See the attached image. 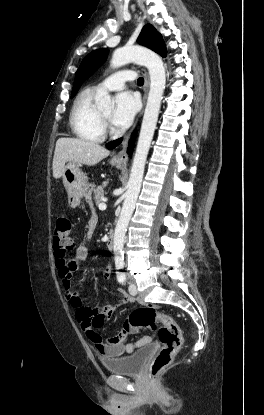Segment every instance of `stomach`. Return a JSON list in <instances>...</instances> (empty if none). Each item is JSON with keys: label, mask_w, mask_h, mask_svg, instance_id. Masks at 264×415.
Here are the masks:
<instances>
[{"label": "stomach", "mask_w": 264, "mask_h": 415, "mask_svg": "<svg viewBox=\"0 0 264 415\" xmlns=\"http://www.w3.org/2000/svg\"><path fill=\"white\" fill-rule=\"evenodd\" d=\"M110 164L117 168H122V164L111 160ZM63 185L68 195V205L75 209L80 205L81 198H90L94 188L93 184H88L85 174L81 171L78 164L68 163L65 166L63 175Z\"/></svg>", "instance_id": "1"}]
</instances>
